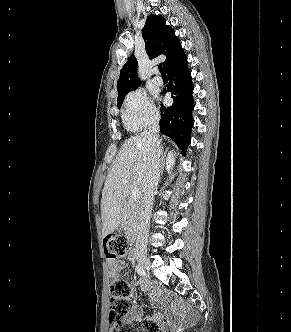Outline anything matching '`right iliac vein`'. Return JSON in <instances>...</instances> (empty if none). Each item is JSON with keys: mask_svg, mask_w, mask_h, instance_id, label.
I'll return each mask as SVG.
<instances>
[{"mask_svg": "<svg viewBox=\"0 0 291 332\" xmlns=\"http://www.w3.org/2000/svg\"><path fill=\"white\" fill-rule=\"evenodd\" d=\"M138 262L146 270L150 269V260L147 257L145 256L138 257Z\"/></svg>", "mask_w": 291, "mask_h": 332, "instance_id": "1", "label": "right iliac vein"}]
</instances>
